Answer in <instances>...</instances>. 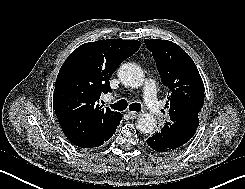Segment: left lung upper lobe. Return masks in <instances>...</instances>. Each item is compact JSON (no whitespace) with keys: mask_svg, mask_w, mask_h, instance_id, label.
Returning a JSON list of instances; mask_svg holds the SVG:
<instances>
[{"mask_svg":"<svg viewBox=\"0 0 245 189\" xmlns=\"http://www.w3.org/2000/svg\"><path fill=\"white\" fill-rule=\"evenodd\" d=\"M156 61L162 83L170 90L166 103L169 121L160 130L169 142L182 147L195 134L204 103V84L191 57L177 44L145 39Z\"/></svg>","mask_w":245,"mask_h":189,"instance_id":"left-lung-upper-lobe-1","label":"left lung upper lobe"}]
</instances>
